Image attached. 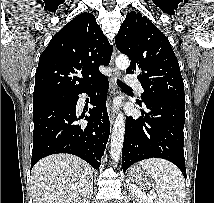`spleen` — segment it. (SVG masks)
<instances>
[{"mask_svg": "<svg viewBox=\"0 0 214 203\" xmlns=\"http://www.w3.org/2000/svg\"><path fill=\"white\" fill-rule=\"evenodd\" d=\"M139 165L155 180L158 203H184V178L176 166L162 159L143 160Z\"/></svg>", "mask_w": 214, "mask_h": 203, "instance_id": "3e777b00", "label": "spleen"}]
</instances>
